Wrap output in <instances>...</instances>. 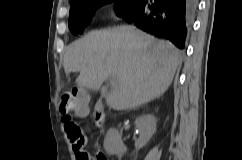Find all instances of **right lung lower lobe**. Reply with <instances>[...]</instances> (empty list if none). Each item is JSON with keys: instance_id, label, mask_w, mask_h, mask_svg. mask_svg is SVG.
Listing matches in <instances>:
<instances>
[{"instance_id": "obj_1", "label": "right lung lower lobe", "mask_w": 242, "mask_h": 160, "mask_svg": "<svg viewBox=\"0 0 242 160\" xmlns=\"http://www.w3.org/2000/svg\"><path fill=\"white\" fill-rule=\"evenodd\" d=\"M199 0H139L122 17L183 49Z\"/></svg>"}]
</instances>
